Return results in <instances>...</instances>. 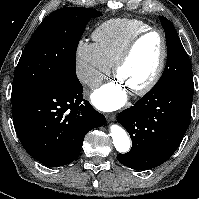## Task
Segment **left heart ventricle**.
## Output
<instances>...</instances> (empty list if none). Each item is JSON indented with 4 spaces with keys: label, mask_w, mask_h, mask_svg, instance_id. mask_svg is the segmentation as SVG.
I'll list each match as a JSON object with an SVG mask.
<instances>
[{
    "label": "left heart ventricle",
    "mask_w": 199,
    "mask_h": 199,
    "mask_svg": "<svg viewBox=\"0 0 199 199\" xmlns=\"http://www.w3.org/2000/svg\"><path fill=\"white\" fill-rule=\"evenodd\" d=\"M161 50V41L157 34L144 37L120 68L118 80L129 91L145 84L158 65Z\"/></svg>",
    "instance_id": "left-heart-ventricle-1"
}]
</instances>
